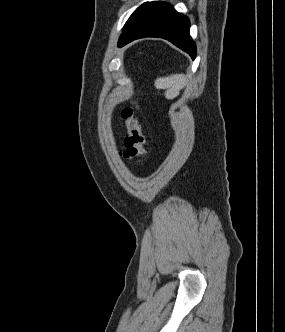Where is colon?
<instances>
[{"label": "colon", "mask_w": 285, "mask_h": 332, "mask_svg": "<svg viewBox=\"0 0 285 332\" xmlns=\"http://www.w3.org/2000/svg\"><path fill=\"white\" fill-rule=\"evenodd\" d=\"M122 118L126 128L124 149L120 155L128 162H137L144 154V136L139 120L131 107H126L122 111Z\"/></svg>", "instance_id": "obj_1"}]
</instances>
